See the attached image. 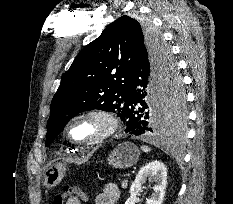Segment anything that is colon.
<instances>
[{
    "label": "colon",
    "mask_w": 233,
    "mask_h": 204,
    "mask_svg": "<svg viewBox=\"0 0 233 204\" xmlns=\"http://www.w3.org/2000/svg\"><path fill=\"white\" fill-rule=\"evenodd\" d=\"M84 194L76 187L66 185L64 191L53 198L52 204H81Z\"/></svg>",
    "instance_id": "obj_1"
}]
</instances>
